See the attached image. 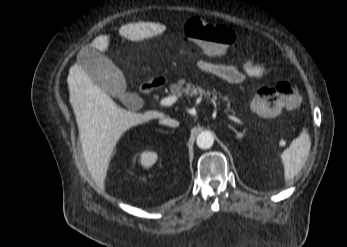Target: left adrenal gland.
Segmentation results:
<instances>
[{"instance_id": "a2214340", "label": "left adrenal gland", "mask_w": 347, "mask_h": 247, "mask_svg": "<svg viewBox=\"0 0 347 247\" xmlns=\"http://www.w3.org/2000/svg\"><path fill=\"white\" fill-rule=\"evenodd\" d=\"M228 127L236 133V138L237 139H241L242 138V134L240 132H238L233 126L228 125Z\"/></svg>"}]
</instances>
